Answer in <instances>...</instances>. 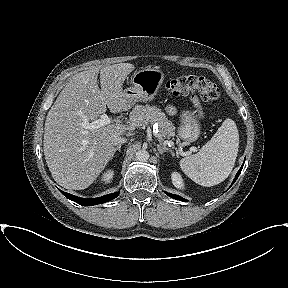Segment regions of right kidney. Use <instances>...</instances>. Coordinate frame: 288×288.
Masks as SVG:
<instances>
[{"label":"right kidney","mask_w":288,"mask_h":288,"mask_svg":"<svg viewBox=\"0 0 288 288\" xmlns=\"http://www.w3.org/2000/svg\"><path fill=\"white\" fill-rule=\"evenodd\" d=\"M114 172L112 170H108L106 173L103 174L102 181L105 183H109L113 178Z\"/></svg>","instance_id":"1"}]
</instances>
